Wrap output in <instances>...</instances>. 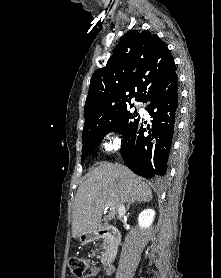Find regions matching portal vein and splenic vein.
Here are the masks:
<instances>
[{
    "mask_svg": "<svg viewBox=\"0 0 221 278\" xmlns=\"http://www.w3.org/2000/svg\"><path fill=\"white\" fill-rule=\"evenodd\" d=\"M110 207V204L108 203L107 205H106V208H109Z\"/></svg>",
    "mask_w": 221,
    "mask_h": 278,
    "instance_id": "portal-vein-and-splenic-vein-1",
    "label": "portal vein and splenic vein"
}]
</instances>
